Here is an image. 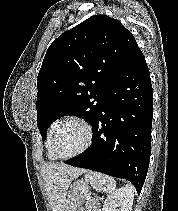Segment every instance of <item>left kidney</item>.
<instances>
[{"instance_id":"left-kidney-1","label":"left kidney","mask_w":178,"mask_h":211,"mask_svg":"<svg viewBox=\"0 0 178 211\" xmlns=\"http://www.w3.org/2000/svg\"><path fill=\"white\" fill-rule=\"evenodd\" d=\"M133 200L134 188L131 185H126L107 197L102 211H131Z\"/></svg>"}]
</instances>
